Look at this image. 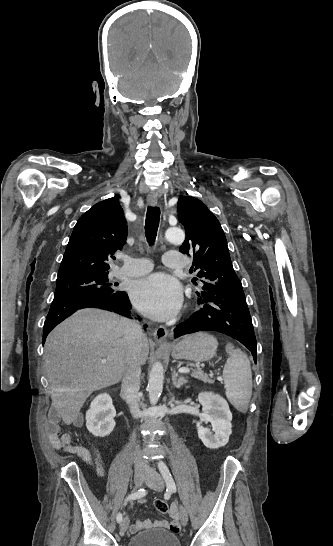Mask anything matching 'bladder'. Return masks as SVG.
I'll return each instance as SVG.
<instances>
[{"mask_svg": "<svg viewBox=\"0 0 333 546\" xmlns=\"http://www.w3.org/2000/svg\"><path fill=\"white\" fill-rule=\"evenodd\" d=\"M128 546H181L177 536L165 529H152L134 535Z\"/></svg>", "mask_w": 333, "mask_h": 546, "instance_id": "1", "label": "bladder"}]
</instances>
